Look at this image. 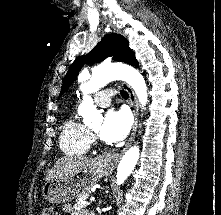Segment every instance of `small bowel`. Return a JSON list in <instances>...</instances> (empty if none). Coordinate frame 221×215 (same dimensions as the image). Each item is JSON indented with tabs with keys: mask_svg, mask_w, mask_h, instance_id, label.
I'll use <instances>...</instances> for the list:
<instances>
[{
	"mask_svg": "<svg viewBox=\"0 0 221 215\" xmlns=\"http://www.w3.org/2000/svg\"><path fill=\"white\" fill-rule=\"evenodd\" d=\"M63 212L70 215H88V213L81 211V210H73L71 205L65 204L63 205Z\"/></svg>",
	"mask_w": 221,
	"mask_h": 215,
	"instance_id": "small-bowel-1",
	"label": "small bowel"
}]
</instances>
